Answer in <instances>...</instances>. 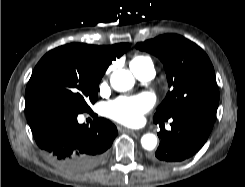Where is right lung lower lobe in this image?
I'll list each match as a JSON object with an SVG mask.
<instances>
[{"label": "right lung lower lobe", "instance_id": "right-lung-lower-lobe-1", "mask_svg": "<svg viewBox=\"0 0 245 187\" xmlns=\"http://www.w3.org/2000/svg\"><path fill=\"white\" fill-rule=\"evenodd\" d=\"M81 114L67 108H51L27 118L40 149L56 164L71 172L98 166L117 136V128L104 118L90 126L79 124Z\"/></svg>", "mask_w": 245, "mask_h": 187}]
</instances>
